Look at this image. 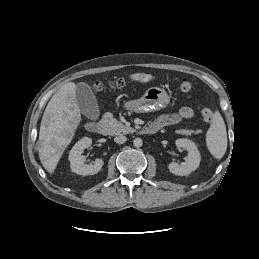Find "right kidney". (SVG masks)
Listing matches in <instances>:
<instances>
[{
	"label": "right kidney",
	"instance_id": "right-kidney-1",
	"mask_svg": "<svg viewBox=\"0 0 259 259\" xmlns=\"http://www.w3.org/2000/svg\"><path fill=\"white\" fill-rule=\"evenodd\" d=\"M92 145V139L83 137L71 149L69 154V161L72 172L79 175H94L97 174L103 167V159H96L91 164H85V157L82 156L84 149Z\"/></svg>",
	"mask_w": 259,
	"mask_h": 259
}]
</instances>
